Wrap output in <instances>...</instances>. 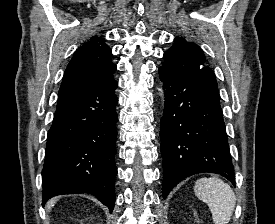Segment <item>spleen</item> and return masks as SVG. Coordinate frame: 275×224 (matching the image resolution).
<instances>
[{
    "label": "spleen",
    "instance_id": "1",
    "mask_svg": "<svg viewBox=\"0 0 275 224\" xmlns=\"http://www.w3.org/2000/svg\"><path fill=\"white\" fill-rule=\"evenodd\" d=\"M195 195L204 201L215 224H228L234 211L236 198L231 187L217 177L201 178L195 182Z\"/></svg>",
    "mask_w": 275,
    "mask_h": 224
}]
</instances>
